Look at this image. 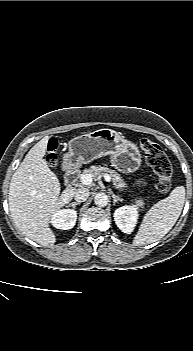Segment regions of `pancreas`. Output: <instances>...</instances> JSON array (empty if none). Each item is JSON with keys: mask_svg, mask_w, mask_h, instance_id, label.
<instances>
[{"mask_svg": "<svg viewBox=\"0 0 193 351\" xmlns=\"http://www.w3.org/2000/svg\"><path fill=\"white\" fill-rule=\"evenodd\" d=\"M104 172L108 173L110 177H112L113 184L115 188L122 189L125 186L124 179L120 176L118 172L112 170L107 167V165H93L89 169H85L82 174H78V177H81L84 174H91L93 177H98L99 175L103 174ZM137 206L144 208L145 202L143 199L138 198L135 200Z\"/></svg>", "mask_w": 193, "mask_h": 351, "instance_id": "pancreas-1", "label": "pancreas"}]
</instances>
